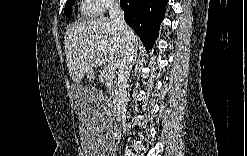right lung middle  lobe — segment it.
<instances>
[{"label":"right lung middle lobe","instance_id":"right-lung-middle-lobe-1","mask_svg":"<svg viewBox=\"0 0 247 156\" xmlns=\"http://www.w3.org/2000/svg\"><path fill=\"white\" fill-rule=\"evenodd\" d=\"M74 4V0H70L65 5L64 15L70 16L72 14V5Z\"/></svg>","mask_w":247,"mask_h":156}]
</instances>
